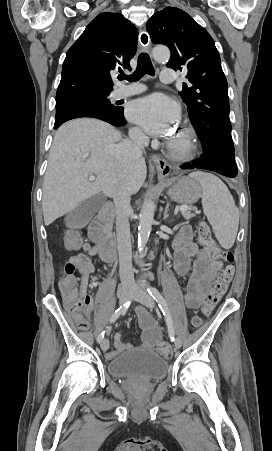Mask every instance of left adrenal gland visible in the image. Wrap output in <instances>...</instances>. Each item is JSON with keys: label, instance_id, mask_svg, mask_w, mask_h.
<instances>
[{"label": "left adrenal gland", "instance_id": "left-adrenal-gland-1", "mask_svg": "<svg viewBox=\"0 0 272 451\" xmlns=\"http://www.w3.org/2000/svg\"><path fill=\"white\" fill-rule=\"evenodd\" d=\"M168 210H169V206H166L165 212H164V220H166V218H168V216H169Z\"/></svg>", "mask_w": 272, "mask_h": 451}]
</instances>
